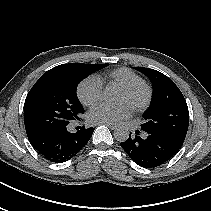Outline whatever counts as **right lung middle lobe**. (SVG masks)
Instances as JSON below:
<instances>
[{
    "mask_svg": "<svg viewBox=\"0 0 211 211\" xmlns=\"http://www.w3.org/2000/svg\"><path fill=\"white\" fill-rule=\"evenodd\" d=\"M108 64L72 63L61 74H43L27 94L24 105L26 131L68 125L84 113L76 89L81 80Z\"/></svg>",
    "mask_w": 211,
    "mask_h": 211,
    "instance_id": "right-lung-middle-lobe-1",
    "label": "right lung middle lobe"
}]
</instances>
